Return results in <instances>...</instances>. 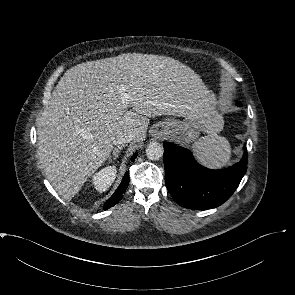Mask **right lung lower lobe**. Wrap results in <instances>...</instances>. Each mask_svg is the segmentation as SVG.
Returning <instances> with one entry per match:
<instances>
[{
	"label": "right lung lower lobe",
	"instance_id": "98d812e1",
	"mask_svg": "<svg viewBox=\"0 0 295 295\" xmlns=\"http://www.w3.org/2000/svg\"><path fill=\"white\" fill-rule=\"evenodd\" d=\"M136 154L133 155L132 160L136 158ZM129 183V172H126L122 182L120 183L119 187L115 191V193L105 202L104 210L114 206L118 201L121 199L122 194L126 191Z\"/></svg>",
	"mask_w": 295,
	"mask_h": 295
}]
</instances>
